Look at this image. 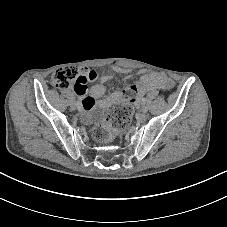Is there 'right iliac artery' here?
<instances>
[{
  "label": "right iliac artery",
  "instance_id": "obj_1",
  "mask_svg": "<svg viewBox=\"0 0 227 227\" xmlns=\"http://www.w3.org/2000/svg\"><path fill=\"white\" fill-rule=\"evenodd\" d=\"M76 105H77L79 110H82V105H81V103L79 101L76 102Z\"/></svg>",
  "mask_w": 227,
  "mask_h": 227
}]
</instances>
